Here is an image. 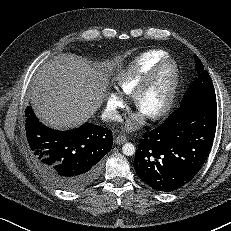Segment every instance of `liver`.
I'll use <instances>...</instances> for the list:
<instances>
[{
	"instance_id": "6515ba94",
	"label": "liver",
	"mask_w": 231,
	"mask_h": 231,
	"mask_svg": "<svg viewBox=\"0 0 231 231\" xmlns=\"http://www.w3.org/2000/svg\"><path fill=\"white\" fill-rule=\"evenodd\" d=\"M108 74L74 54H59L38 68L31 86L32 107L46 125L77 127L100 107Z\"/></svg>"
}]
</instances>
